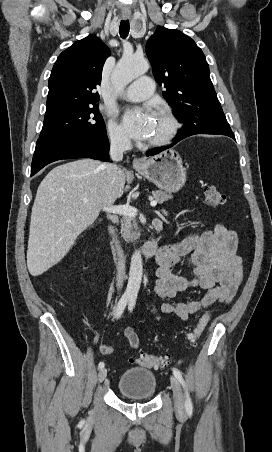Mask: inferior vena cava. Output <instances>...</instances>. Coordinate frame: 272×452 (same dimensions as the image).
Instances as JSON below:
<instances>
[{
    "label": "inferior vena cava",
    "instance_id": "obj_1",
    "mask_svg": "<svg viewBox=\"0 0 272 452\" xmlns=\"http://www.w3.org/2000/svg\"><path fill=\"white\" fill-rule=\"evenodd\" d=\"M130 148V140L122 133L116 132L110 135V158L113 162L105 164L106 174L109 179L115 178V176L118 174L119 168L117 162L123 159V153ZM112 243L115 246L118 257L116 286L119 290L123 286L126 273L125 257L123 255V250L119 244V241L117 240V236L114 235Z\"/></svg>",
    "mask_w": 272,
    "mask_h": 452
}]
</instances>
